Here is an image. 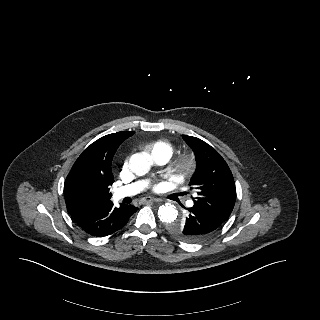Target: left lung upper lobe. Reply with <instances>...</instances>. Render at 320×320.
<instances>
[{
	"instance_id": "1",
	"label": "left lung upper lobe",
	"mask_w": 320,
	"mask_h": 320,
	"mask_svg": "<svg viewBox=\"0 0 320 320\" xmlns=\"http://www.w3.org/2000/svg\"><path fill=\"white\" fill-rule=\"evenodd\" d=\"M183 139L196 156V171L189 183L197 190L194 205L225 222L236 200L235 183L227 163L204 141L187 135H183ZM169 230L182 241H198L186 232L184 220L172 222Z\"/></svg>"
}]
</instances>
